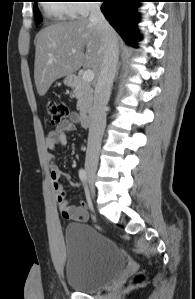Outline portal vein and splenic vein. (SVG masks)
I'll use <instances>...</instances> for the list:
<instances>
[{
	"mask_svg": "<svg viewBox=\"0 0 195 299\" xmlns=\"http://www.w3.org/2000/svg\"><path fill=\"white\" fill-rule=\"evenodd\" d=\"M76 52V50L75 49H72V53H75ZM94 72L92 71V70H90V69H87V70H85L84 72H83V74H82V78H83V80L84 81H86V82H91V81H93V79H94Z\"/></svg>",
	"mask_w": 195,
	"mask_h": 299,
	"instance_id": "portal-vein-and-splenic-vein-1",
	"label": "portal vein and splenic vein"
}]
</instances>
